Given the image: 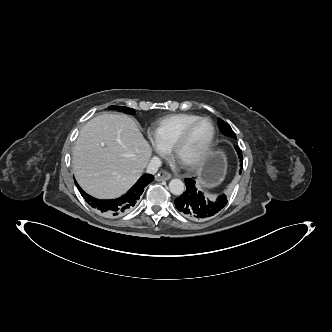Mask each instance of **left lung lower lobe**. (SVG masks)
<instances>
[{
  "mask_svg": "<svg viewBox=\"0 0 332 332\" xmlns=\"http://www.w3.org/2000/svg\"><path fill=\"white\" fill-rule=\"evenodd\" d=\"M240 161H242V151L235 147ZM242 170V169H241ZM186 192L175 199L176 208L186 217L196 220L205 221L214 217L226 204L227 197L223 194L216 201L210 200L195 187V181L185 179Z\"/></svg>",
  "mask_w": 332,
  "mask_h": 332,
  "instance_id": "1",
  "label": "left lung lower lobe"
}]
</instances>
